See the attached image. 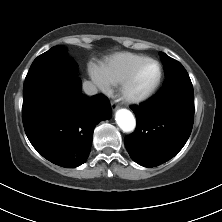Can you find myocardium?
Returning <instances> with one entry per match:
<instances>
[{"label":"myocardium","instance_id":"1","mask_svg":"<svg viewBox=\"0 0 222 222\" xmlns=\"http://www.w3.org/2000/svg\"><path fill=\"white\" fill-rule=\"evenodd\" d=\"M148 63H153L157 66L158 69V74L157 78L154 81V83L151 85V87L142 95L140 96H132L129 94V88L131 87L132 83L136 79L139 71ZM162 80V67L160 63L154 59L147 58L137 64L131 71L130 73L124 78V80L120 83L119 86V96L120 98L128 103V104H141L143 102H146L148 99L152 97V95L155 93L157 88L159 87L160 83Z\"/></svg>","mask_w":222,"mask_h":222}]
</instances>
